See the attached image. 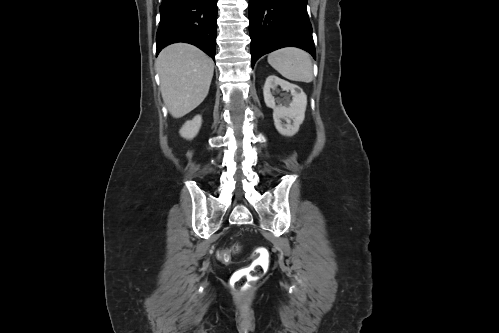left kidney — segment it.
Here are the masks:
<instances>
[{
	"label": "left kidney",
	"instance_id": "left-kidney-1",
	"mask_svg": "<svg viewBox=\"0 0 499 333\" xmlns=\"http://www.w3.org/2000/svg\"><path fill=\"white\" fill-rule=\"evenodd\" d=\"M277 86L291 92L293 97L289 105H282L281 100H276L272 95L271 89L274 90ZM263 95L266 106L273 109L274 125L277 131L284 136L295 135L305 118L307 96L303 90L295 84L270 75L266 79ZM276 102L279 104L276 105Z\"/></svg>",
	"mask_w": 499,
	"mask_h": 333
}]
</instances>
